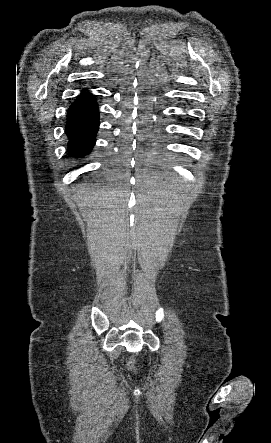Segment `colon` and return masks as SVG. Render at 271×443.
Segmentation results:
<instances>
[{"mask_svg":"<svg viewBox=\"0 0 271 443\" xmlns=\"http://www.w3.org/2000/svg\"><path fill=\"white\" fill-rule=\"evenodd\" d=\"M127 367L129 370H134L135 369V360L132 358L129 360Z\"/></svg>","mask_w":271,"mask_h":443,"instance_id":"colon-1","label":"colon"}]
</instances>
